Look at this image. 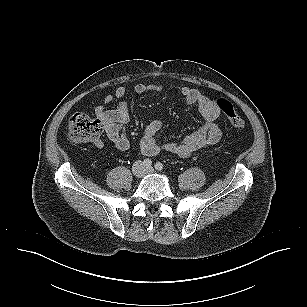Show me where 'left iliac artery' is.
I'll use <instances>...</instances> for the list:
<instances>
[{
    "mask_svg": "<svg viewBox=\"0 0 307 307\" xmlns=\"http://www.w3.org/2000/svg\"><path fill=\"white\" fill-rule=\"evenodd\" d=\"M164 168L163 164L161 162H157L155 164V169L161 171Z\"/></svg>",
    "mask_w": 307,
    "mask_h": 307,
    "instance_id": "obj_1",
    "label": "left iliac artery"
}]
</instances>
